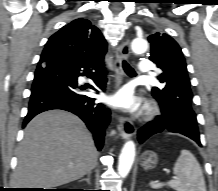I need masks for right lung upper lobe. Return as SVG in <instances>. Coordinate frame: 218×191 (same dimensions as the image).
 Returning a JSON list of instances; mask_svg holds the SVG:
<instances>
[{"label": "right lung upper lobe", "mask_w": 218, "mask_h": 191, "mask_svg": "<svg viewBox=\"0 0 218 191\" xmlns=\"http://www.w3.org/2000/svg\"><path fill=\"white\" fill-rule=\"evenodd\" d=\"M107 43L99 29L86 19H76L53 34L43 52L56 51L75 58H99L106 52Z\"/></svg>", "instance_id": "cb5924a9"}]
</instances>
